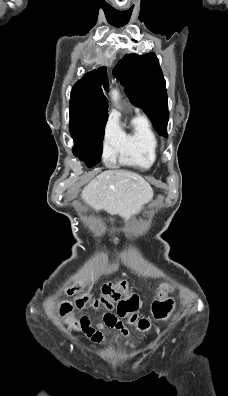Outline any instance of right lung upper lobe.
Listing matches in <instances>:
<instances>
[{
  "label": "right lung upper lobe",
  "mask_w": 228,
  "mask_h": 396,
  "mask_svg": "<svg viewBox=\"0 0 228 396\" xmlns=\"http://www.w3.org/2000/svg\"><path fill=\"white\" fill-rule=\"evenodd\" d=\"M102 88L108 91L106 67L86 73L71 91L70 110L84 116L98 115L108 111V101Z\"/></svg>",
  "instance_id": "cb5924a9"
}]
</instances>
